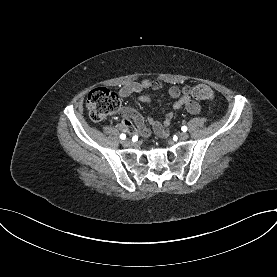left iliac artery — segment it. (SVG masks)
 Listing matches in <instances>:
<instances>
[{
  "instance_id": "obj_1",
  "label": "left iliac artery",
  "mask_w": 277,
  "mask_h": 277,
  "mask_svg": "<svg viewBox=\"0 0 277 277\" xmlns=\"http://www.w3.org/2000/svg\"><path fill=\"white\" fill-rule=\"evenodd\" d=\"M181 129H182L183 132L187 131V127L186 126H183Z\"/></svg>"
}]
</instances>
